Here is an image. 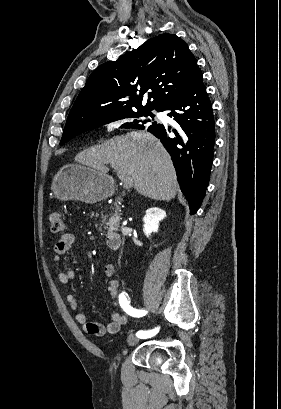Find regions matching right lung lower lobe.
<instances>
[{
	"instance_id": "1",
	"label": "right lung lower lobe",
	"mask_w": 281,
	"mask_h": 409,
	"mask_svg": "<svg viewBox=\"0 0 281 409\" xmlns=\"http://www.w3.org/2000/svg\"><path fill=\"white\" fill-rule=\"evenodd\" d=\"M163 111L173 118L177 128L154 122L148 131L159 138L170 153L190 214H195L208 185L215 143L213 109L201 71L158 112Z\"/></svg>"
}]
</instances>
